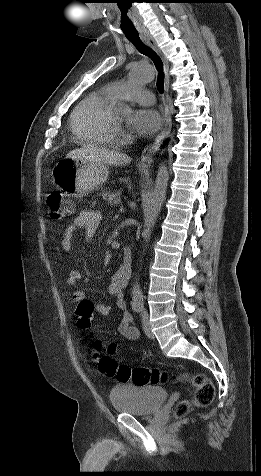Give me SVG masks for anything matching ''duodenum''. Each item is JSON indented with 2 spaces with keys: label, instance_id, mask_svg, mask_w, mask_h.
Returning a JSON list of instances; mask_svg holds the SVG:
<instances>
[{
  "label": "duodenum",
  "instance_id": "obj_1",
  "mask_svg": "<svg viewBox=\"0 0 261 476\" xmlns=\"http://www.w3.org/2000/svg\"><path fill=\"white\" fill-rule=\"evenodd\" d=\"M132 262H133V252L130 247L126 246L123 249V264L122 268L128 274H130L132 269Z\"/></svg>",
  "mask_w": 261,
  "mask_h": 476
}]
</instances>
